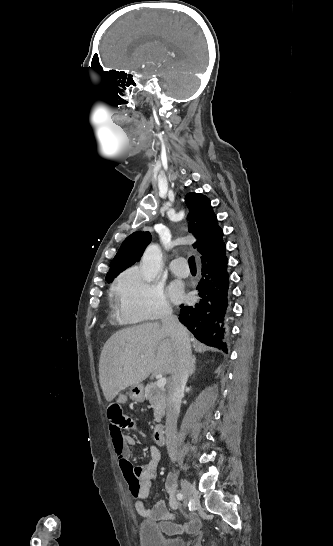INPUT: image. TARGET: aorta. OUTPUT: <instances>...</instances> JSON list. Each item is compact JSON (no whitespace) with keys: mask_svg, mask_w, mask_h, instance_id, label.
<instances>
[{"mask_svg":"<svg viewBox=\"0 0 333 546\" xmlns=\"http://www.w3.org/2000/svg\"><path fill=\"white\" fill-rule=\"evenodd\" d=\"M162 267V252L158 245L151 244L145 250L140 268L147 282L153 281Z\"/></svg>","mask_w":333,"mask_h":546,"instance_id":"obj_1","label":"aorta"}]
</instances>
